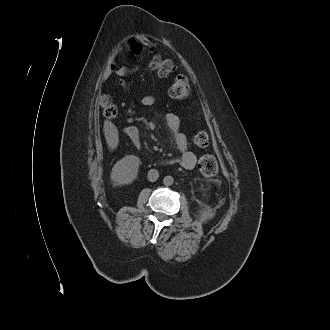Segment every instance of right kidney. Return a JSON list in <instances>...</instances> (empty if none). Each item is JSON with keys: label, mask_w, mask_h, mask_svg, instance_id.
<instances>
[{"label": "right kidney", "mask_w": 330, "mask_h": 330, "mask_svg": "<svg viewBox=\"0 0 330 330\" xmlns=\"http://www.w3.org/2000/svg\"><path fill=\"white\" fill-rule=\"evenodd\" d=\"M140 158L127 155L119 160L112 168L110 179L116 186L131 184L138 175Z\"/></svg>", "instance_id": "right-kidney-1"}]
</instances>
